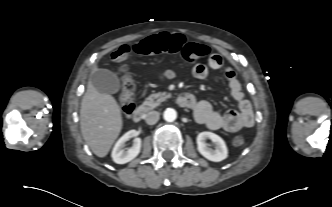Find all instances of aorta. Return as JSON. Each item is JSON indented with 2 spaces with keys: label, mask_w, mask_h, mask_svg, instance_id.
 I'll list each match as a JSON object with an SVG mask.
<instances>
[{
  "label": "aorta",
  "mask_w": 332,
  "mask_h": 207,
  "mask_svg": "<svg viewBox=\"0 0 332 207\" xmlns=\"http://www.w3.org/2000/svg\"><path fill=\"white\" fill-rule=\"evenodd\" d=\"M163 117L167 122H173L177 118V112L173 108H168L164 111Z\"/></svg>",
  "instance_id": "aorta-1"
}]
</instances>
